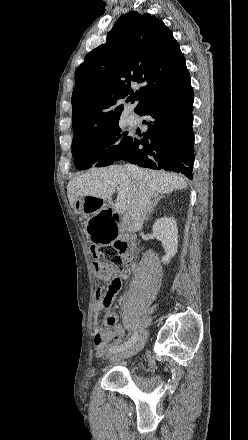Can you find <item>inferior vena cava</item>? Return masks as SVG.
Wrapping results in <instances>:
<instances>
[{
  "instance_id": "inferior-vena-cava-1",
  "label": "inferior vena cava",
  "mask_w": 248,
  "mask_h": 440,
  "mask_svg": "<svg viewBox=\"0 0 248 440\" xmlns=\"http://www.w3.org/2000/svg\"><path fill=\"white\" fill-rule=\"evenodd\" d=\"M127 173L138 181V189L131 206L127 209L123 217V226L131 231H137L142 228L143 222L149 212L151 206V195L147 191L142 180V173L139 168L126 165Z\"/></svg>"
}]
</instances>
